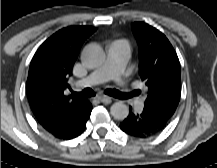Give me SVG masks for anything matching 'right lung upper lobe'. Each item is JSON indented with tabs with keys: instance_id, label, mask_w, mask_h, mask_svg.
I'll list each match as a JSON object with an SVG mask.
<instances>
[{
	"instance_id": "1",
	"label": "right lung upper lobe",
	"mask_w": 217,
	"mask_h": 168,
	"mask_svg": "<svg viewBox=\"0 0 217 168\" xmlns=\"http://www.w3.org/2000/svg\"><path fill=\"white\" fill-rule=\"evenodd\" d=\"M95 30L91 26L63 28L49 37L32 58L26 93L33 114L47 131L62 126L90 104L85 98H70L66 89L79 50Z\"/></svg>"
}]
</instances>
